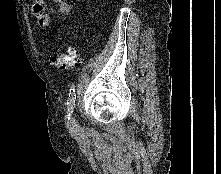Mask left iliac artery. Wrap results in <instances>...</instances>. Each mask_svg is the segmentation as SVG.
<instances>
[{"mask_svg":"<svg viewBox=\"0 0 221 174\" xmlns=\"http://www.w3.org/2000/svg\"><path fill=\"white\" fill-rule=\"evenodd\" d=\"M75 102H76V90H75V85L73 83L69 90V95L67 99V119L71 118V115L75 108Z\"/></svg>","mask_w":221,"mask_h":174,"instance_id":"obj_1","label":"left iliac artery"}]
</instances>
